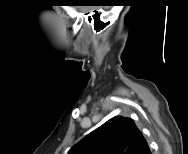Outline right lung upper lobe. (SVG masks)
<instances>
[{"label":"right lung upper lobe","instance_id":"obj_1","mask_svg":"<svg viewBox=\"0 0 188 154\" xmlns=\"http://www.w3.org/2000/svg\"><path fill=\"white\" fill-rule=\"evenodd\" d=\"M68 154H150V149L134 121L117 116L84 137Z\"/></svg>","mask_w":188,"mask_h":154}]
</instances>
